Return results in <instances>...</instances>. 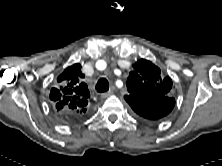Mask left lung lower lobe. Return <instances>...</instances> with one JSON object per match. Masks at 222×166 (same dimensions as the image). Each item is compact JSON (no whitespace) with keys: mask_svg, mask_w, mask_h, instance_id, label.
<instances>
[{"mask_svg":"<svg viewBox=\"0 0 222 166\" xmlns=\"http://www.w3.org/2000/svg\"><path fill=\"white\" fill-rule=\"evenodd\" d=\"M162 100L163 107H160L157 112H151L146 114L148 118H141L149 121H156L168 115L175 105V99L173 97H165Z\"/></svg>","mask_w":222,"mask_h":166,"instance_id":"left-lung-lower-lobe-1","label":"left lung lower lobe"}]
</instances>
